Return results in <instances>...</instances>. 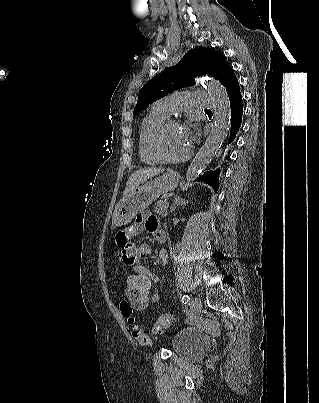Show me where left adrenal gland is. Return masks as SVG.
<instances>
[{
	"label": "left adrenal gland",
	"instance_id": "a2214340",
	"mask_svg": "<svg viewBox=\"0 0 319 403\" xmlns=\"http://www.w3.org/2000/svg\"><path fill=\"white\" fill-rule=\"evenodd\" d=\"M187 203H188L187 200L182 199V198H180V197H178V196L175 197V198H174V204L171 206L170 212H171V213L174 212L175 209H176V207H178V206H184V205H186Z\"/></svg>",
	"mask_w": 319,
	"mask_h": 403
}]
</instances>
